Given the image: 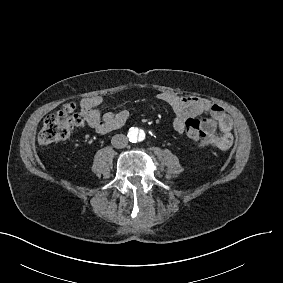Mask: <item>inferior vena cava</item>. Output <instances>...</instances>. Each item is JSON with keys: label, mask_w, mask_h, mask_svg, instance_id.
<instances>
[{"label": "inferior vena cava", "mask_w": 283, "mask_h": 283, "mask_svg": "<svg viewBox=\"0 0 283 283\" xmlns=\"http://www.w3.org/2000/svg\"><path fill=\"white\" fill-rule=\"evenodd\" d=\"M111 144L115 148L123 149L128 144V138L123 134H116L112 137Z\"/></svg>", "instance_id": "602c4592"}]
</instances>
